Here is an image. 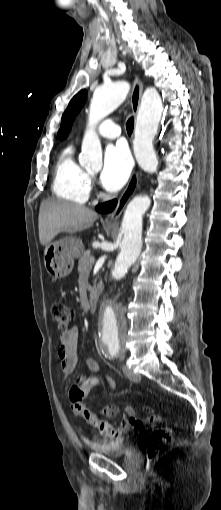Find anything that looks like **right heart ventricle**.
Listing matches in <instances>:
<instances>
[{
  "label": "right heart ventricle",
  "mask_w": 221,
  "mask_h": 510,
  "mask_svg": "<svg viewBox=\"0 0 221 510\" xmlns=\"http://www.w3.org/2000/svg\"><path fill=\"white\" fill-rule=\"evenodd\" d=\"M52 191L57 197L77 204H84L89 198L90 179L76 161L73 146H67L59 155Z\"/></svg>",
  "instance_id": "obj_1"
}]
</instances>
